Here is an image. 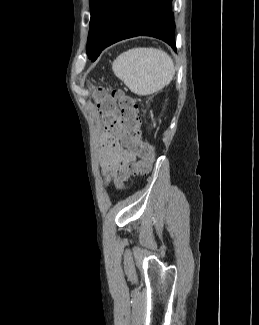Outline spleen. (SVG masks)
Instances as JSON below:
<instances>
[{"mask_svg": "<svg viewBox=\"0 0 259 325\" xmlns=\"http://www.w3.org/2000/svg\"><path fill=\"white\" fill-rule=\"evenodd\" d=\"M112 70L137 95H150L167 86L175 73L172 58L162 49L138 47L120 54Z\"/></svg>", "mask_w": 259, "mask_h": 325, "instance_id": "spleen-1", "label": "spleen"}]
</instances>
